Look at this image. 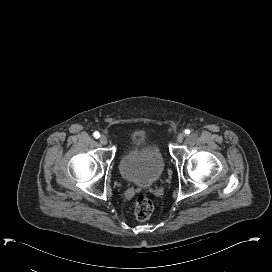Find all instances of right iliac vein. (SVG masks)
Wrapping results in <instances>:
<instances>
[{"mask_svg":"<svg viewBox=\"0 0 272 272\" xmlns=\"http://www.w3.org/2000/svg\"><path fill=\"white\" fill-rule=\"evenodd\" d=\"M99 142L102 144V145H106L108 143V139L105 135H101L100 138H99Z\"/></svg>","mask_w":272,"mask_h":272,"instance_id":"63e3f726","label":"right iliac vein"}]
</instances>
